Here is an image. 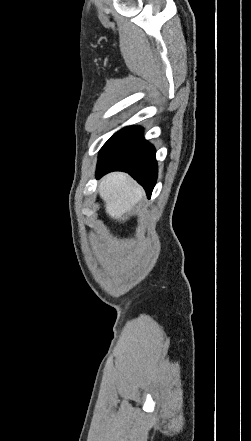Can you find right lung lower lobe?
Returning a JSON list of instances; mask_svg holds the SVG:
<instances>
[{
    "label": "right lung lower lobe",
    "mask_w": 251,
    "mask_h": 441,
    "mask_svg": "<svg viewBox=\"0 0 251 441\" xmlns=\"http://www.w3.org/2000/svg\"><path fill=\"white\" fill-rule=\"evenodd\" d=\"M129 173L150 197L157 180L155 148L142 136L139 127H126L114 134L99 153L97 178L112 172Z\"/></svg>",
    "instance_id": "right-lung-lower-lobe-1"
}]
</instances>
